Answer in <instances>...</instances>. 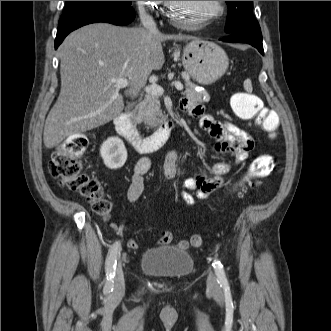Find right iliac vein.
<instances>
[{"label":"right iliac vein","mask_w":331,"mask_h":331,"mask_svg":"<svg viewBox=\"0 0 331 331\" xmlns=\"http://www.w3.org/2000/svg\"><path fill=\"white\" fill-rule=\"evenodd\" d=\"M114 281H115L114 282L115 294H117V295L122 294L124 291V288H125V280H124V274H123L121 261H118Z\"/></svg>","instance_id":"63e3f726"}]
</instances>
